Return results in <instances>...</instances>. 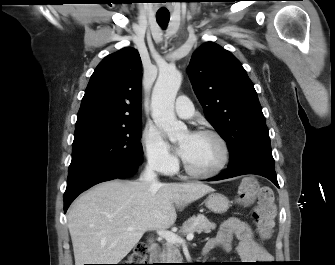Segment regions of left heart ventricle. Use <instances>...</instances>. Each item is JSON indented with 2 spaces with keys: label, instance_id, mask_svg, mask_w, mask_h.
Segmentation results:
<instances>
[{
  "label": "left heart ventricle",
  "instance_id": "obj_1",
  "mask_svg": "<svg viewBox=\"0 0 335 265\" xmlns=\"http://www.w3.org/2000/svg\"><path fill=\"white\" fill-rule=\"evenodd\" d=\"M179 143L186 149L183 159L196 171H209L221 160L220 144L213 137L185 134Z\"/></svg>",
  "mask_w": 335,
  "mask_h": 265
}]
</instances>
